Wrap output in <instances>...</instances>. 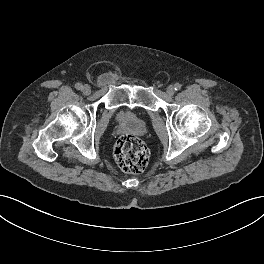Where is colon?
<instances>
[{"label":"colon","mask_w":264,"mask_h":264,"mask_svg":"<svg viewBox=\"0 0 264 264\" xmlns=\"http://www.w3.org/2000/svg\"><path fill=\"white\" fill-rule=\"evenodd\" d=\"M114 159L127 173H141L147 166L149 152L144 142L133 135H123L115 143Z\"/></svg>","instance_id":"5ec220e1"}]
</instances>
